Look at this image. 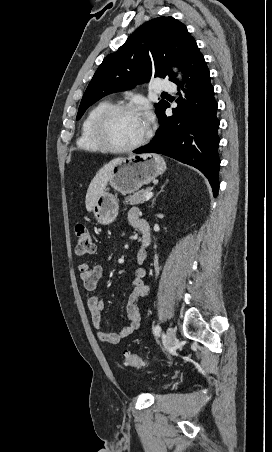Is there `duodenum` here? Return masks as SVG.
<instances>
[{
    "mask_svg": "<svg viewBox=\"0 0 272 452\" xmlns=\"http://www.w3.org/2000/svg\"><path fill=\"white\" fill-rule=\"evenodd\" d=\"M137 228L141 233V253L145 252L146 247L151 243L150 225L146 218H139L136 223Z\"/></svg>",
    "mask_w": 272,
    "mask_h": 452,
    "instance_id": "duodenum-1",
    "label": "duodenum"
}]
</instances>
